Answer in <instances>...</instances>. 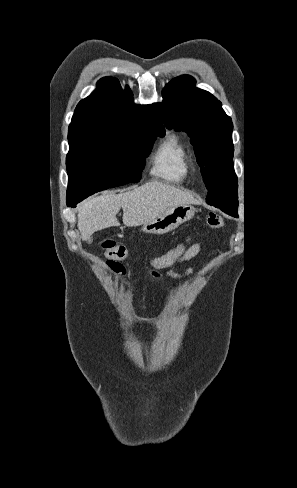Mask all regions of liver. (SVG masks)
Wrapping results in <instances>:
<instances>
[{
	"label": "liver",
	"instance_id": "1",
	"mask_svg": "<svg viewBox=\"0 0 297 488\" xmlns=\"http://www.w3.org/2000/svg\"><path fill=\"white\" fill-rule=\"evenodd\" d=\"M191 203H196L191 194L152 181L129 192L106 193L84 201L78 209V228L82 240L90 242L95 232L120 225L116 214L121 208L123 223L131 227L146 224L173 206Z\"/></svg>",
	"mask_w": 297,
	"mask_h": 488
}]
</instances>
